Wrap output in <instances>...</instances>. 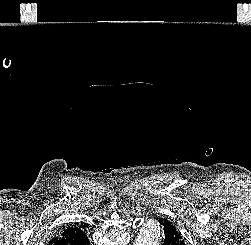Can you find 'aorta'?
Returning <instances> with one entry per match:
<instances>
[{
  "label": "aorta",
  "mask_w": 251,
  "mask_h": 245,
  "mask_svg": "<svg viewBox=\"0 0 251 245\" xmlns=\"http://www.w3.org/2000/svg\"><path fill=\"white\" fill-rule=\"evenodd\" d=\"M160 240V224L153 219H149L140 228L133 245H159Z\"/></svg>",
  "instance_id": "obj_1"
}]
</instances>
